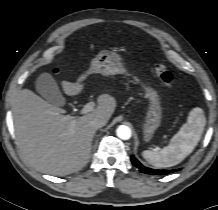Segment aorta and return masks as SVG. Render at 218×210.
<instances>
[{
    "mask_svg": "<svg viewBox=\"0 0 218 210\" xmlns=\"http://www.w3.org/2000/svg\"><path fill=\"white\" fill-rule=\"evenodd\" d=\"M117 136L122 140H128L131 137V129L126 125H120L116 130Z\"/></svg>",
    "mask_w": 218,
    "mask_h": 210,
    "instance_id": "762f6f07",
    "label": "aorta"
}]
</instances>
